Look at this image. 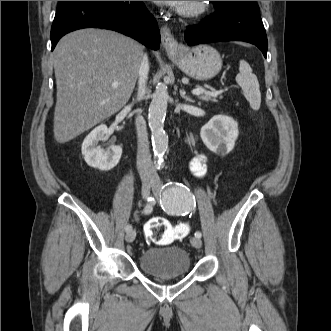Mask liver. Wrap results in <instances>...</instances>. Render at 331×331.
Segmentation results:
<instances>
[{
	"label": "liver",
	"instance_id": "liver-1",
	"mask_svg": "<svg viewBox=\"0 0 331 331\" xmlns=\"http://www.w3.org/2000/svg\"><path fill=\"white\" fill-rule=\"evenodd\" d=\"M142 58L140 43L110 30L87 28L62 37L53 52L55 140L66 143L122 109Z\"/></svg>",
	"mask_w": 331,
	"mask_h": 331
}]
</instances>
